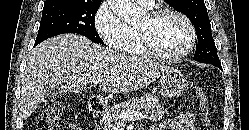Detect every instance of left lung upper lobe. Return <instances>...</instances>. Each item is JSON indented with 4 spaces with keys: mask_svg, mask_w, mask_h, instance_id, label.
Instances as JSON below:
<instances>
[{
    "mask_svg": "<svg viewBox=\"0 0 249 130\" xmlns=\"http://www.w3.org/2000/svg\"><path fill=\"white\" fill-rule=\"evenodd\" d=\"M165 2L185 14L195 27L198 45L193 59L201 63L221 65L204 0H165Z\"/></svg>",
    "mask_w": 249,
    "mask_h": 130,
    "instance_id": "left-lung-upper-lobe-1",
    "label": "left lung upper lobe"
}]
</instances>
